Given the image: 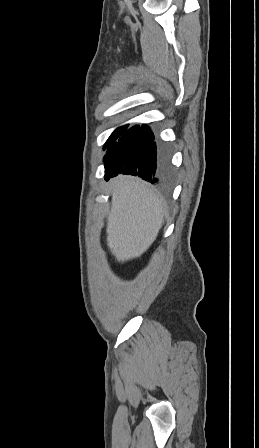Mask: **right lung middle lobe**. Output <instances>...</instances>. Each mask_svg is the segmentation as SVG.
I'll list each match as a JSON object with an SVG mask.
<instances>
[{"mask_svg":"<svg viewBox=\"0 0 259 448\" xmlns=\"http://www.w3.org/2000/svg\"><path fill=\"white\" fill-rule=\"evenodd\" d=\"M128 124L117 128L106 141L103 150L107 149L113 142H115L127 129Z\"/></svg>","mask_w":259,"mask_h":448,"instance_id":"dd1d6c3e","label":"right lung middle lobe"}]
</instances>
